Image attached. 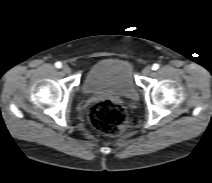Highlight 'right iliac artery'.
<instances>
[{"mask_svg":"<svg viewBox=\"0 0 212 183\" xmlns=\"http://www.w3.org/2000/svg\"><path fill=\"white\" fill-rule=\"evenodd\" d=\"M55 66H56L57 68H61L62 64H61V62H56V63H55Z\"/></svg>","mask_w":212,"mask_h":183,"instance_id":"obj_1","label":"right iliac artery"}]
</instances>
